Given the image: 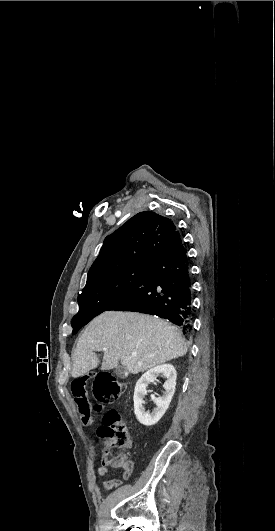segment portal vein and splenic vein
I'll list each match as a JSON object with an SVG mask.
<instances>
[{
  "instance_id": "portal-vein-and-splenic-vein-1",
  "label": "portal vein and splenic vein",
  "mask_w": 275,
  "mask_h": 531,
  "mask_svg": "<svg viewBox=\"0 0 275 531\" xmlns=\"http://www.w3.org/2000/svg\"><path fill=\"white\" fill-rule=\"evenodd\" d=\"M103 351H107V349H103ZM137 353H132V357H136Z\"/></svg>"
}]
</instances>
